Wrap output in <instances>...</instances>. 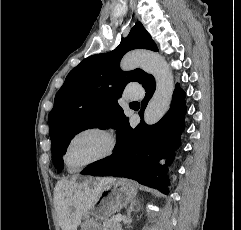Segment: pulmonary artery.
<instances>
[{
    "label": "pulmonary artery",
    "mask_w": 241,
    "mask_h": 230,
    "mask_svg": "<svg viewBox=\"0 0 241 230\" xmlns=\"http://www.w3.org/2000/svg\"><path fill=\"white\" fill-rule=\"evenodd\" d=\"M142 96V90L136 83H131L126 88V99L137 100Z\"/></svg>",
    "instance_id": "obj_1"
}]
</instances>
